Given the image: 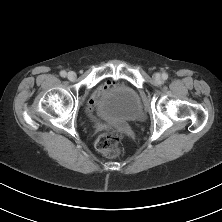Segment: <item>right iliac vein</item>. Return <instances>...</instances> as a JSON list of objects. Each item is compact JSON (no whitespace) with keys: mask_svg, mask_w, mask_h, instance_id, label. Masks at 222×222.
<instances>
[{"mask_svg":"<svg viewBox=\"0 0 222 222\" xmlns=\"http://www.w3.org/2000/svg\"><path fill=\"white\" fill-rule=\"evenodd\" d=\"M67 77L69 80H74L76 78V73L73 71L68 72Z\"/></svg>","mask_w":222,"mask_h":222,"instance_id":"obj_1","label":"right iliac vein"}]
</instances>
